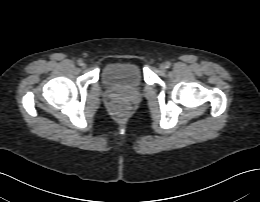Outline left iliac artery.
<instances>
[{"instance_id":"left-iliac-artery-1","label":"left iliac artery","mask_w":260,"mask_h":202,"mask_svg":"<svg viewBox=\"0 0 260 202\" xmlns=\"http://www.w3.org/2000/svg\"><path fill=\"white\" fill-rule=\"evenodd\" d=\"M170 66H171V63H170V62H166V63H165V67H166V68H170Z\"/></svg>"}]
</instances>
